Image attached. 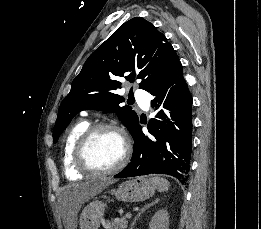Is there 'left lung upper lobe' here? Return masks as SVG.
Returning a JSON list of instances; mask_svg holds the SVG:
<instances>
[{
	"mask_svg": "<svg viewBox=\"0 0 261 229\" xmlns=\"http://www.w3.org/2000/svg\"><path fill=\"white\" fill-rule=\"evenodd\" d=\"M179 58L152 23L135 17L121 25L86 60L72 82L69 94L62 101L53 131V142L81 110L98 109L115 112L131 135L138 125V116L129 106L120 107L124 98L115 94L121 83L116 76L134 82L149 91Z\"/></svg>",
	"mask_w": 261,
	"mask_h": 229,
	"instance_id": "1",
	"label": "left lung upper lobe"
}]
</instances>
